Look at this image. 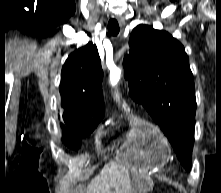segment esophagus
Masks as SVG:
<instances>
[{"label": "esophagus", "mask_w": 221, "mask_h": 193, "mask_svg": "<svg viewBox=\"0 0 221 193\" xmlns=\"http://www.w3.org/2000/svg\"><path fill=\"white\" fill-rule=\"evenodd\" d=\"M116 18H117L122 24H124V23H123V18H122V17H120V16H116Z\"/></svg>", "instance_id": "obj_1"}]
</instances>
